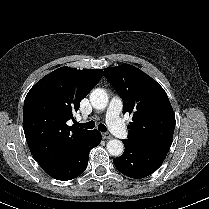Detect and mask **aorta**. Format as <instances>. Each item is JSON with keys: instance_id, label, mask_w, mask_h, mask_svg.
<instances>
[{"instance_id": "1", "label": "aorta", "mask_w": 209, "mask_h": 209, "mask_svg": "<svg viewBox=\"0 0 209 209\" xmlns=\"http://www.w3.org/2000/svg\"><path fill=\"white\" fill-rule=\"evenodd\" d=\"M108 94L104 89H94L90 94V102L92 106L97 110H103L108 104ZM107 151L112 156H120L124 152V145L122 141L118 139H112L107 142Z\"/></svg>"}]
</instances>
